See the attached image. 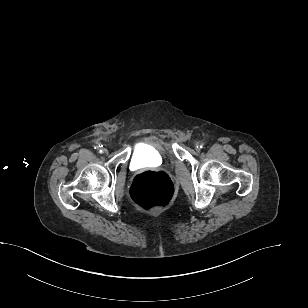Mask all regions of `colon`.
<instances>
[{
  "label": "colon",
  "mask_w": 308,
  "mask_h": 308,
  "mask_svg": "<svg viewBox=\"0 0 308 308\" xmlns=\"http://www.w3.org/2000/svg\"><path fill=\"white\" fill-rule=\"evenodd\" d=\"M173 193V183L164 172L142 173L135 177L130 188L132 201L146 210L167 206Z\"/></svg>",
  "instance_id": "1"
}]
</instances>
